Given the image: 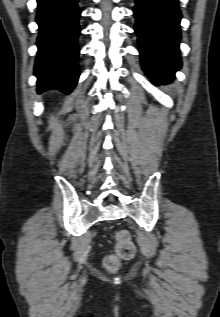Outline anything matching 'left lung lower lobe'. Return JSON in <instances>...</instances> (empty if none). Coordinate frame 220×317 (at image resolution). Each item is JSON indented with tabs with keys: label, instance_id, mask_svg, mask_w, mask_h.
Instances as JSON below:
<instances>
[{
	"label": "left lung lower lobe",
	"instance_id": "0a47b994",
	"mask_svg": "<svg viewBox=\"0 0 220 317\" xmlns=\"http://www.w3.org/2000/svg\"><path fill=\"white\" fill-rule=\"evenodd\" d=\"M135 1V32L143 70L156 83L170 82L181 67L178 0Z\"/></svg>",
	"mask_w": 220,
	"mask_h": 317
}]
</instances>
